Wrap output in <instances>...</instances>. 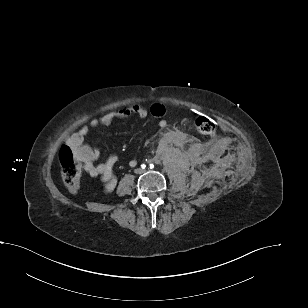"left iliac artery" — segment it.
Wrapping results in <instances>:
<instances>
[{
  "label": "left iliac artery",
  "instance_id": "44dca946",
  "mask_svg": "<svg viewBox=\"0 0 308 308\" xmlns=\"http://www.w3.org/2000/svg\"><path fill=\"white\" fill-rule=\"evenodd\" d=\"M154 167V165L153 164H150V168H153Z\"/></svg>",
  "mask_w": 308,
  "mask_h": 308
}]
</instances>
